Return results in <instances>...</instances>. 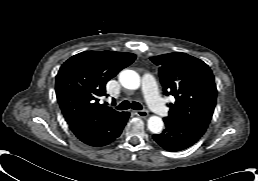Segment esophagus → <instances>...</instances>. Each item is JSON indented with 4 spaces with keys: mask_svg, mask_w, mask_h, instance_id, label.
Masks as SVG:
<instances>
[{
    "mask_svg": "<svg viewBox=\"0 0 258 181\" xmlns=\"http://www.w3.org/2000/svg\"><path fill=\"white\" fill-rule=\"evenodd\" d=\"M135 114L142 118L148 117V111H146V110H137V111H135Z\"/></svg>",
    "mask_w": 258,
    "mask_h": 181,
    "instance_id": "esophagus-1",
    "label": "esophagus"
}]
</instances>
